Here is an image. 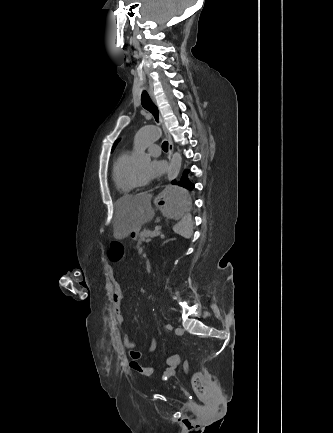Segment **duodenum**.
<instances>
[{
  "label": "duodenum",
  "instance_id": "obj_1",
  "mask_svg": "<svg viewBox=\"0 0 333 433\" xmlns=\"http://www.w3.org/2000/svg\"><path fill=\"white\" fill-rule=\"evenodd\" d=\"M144 267L146 272L150 273L152 271V264L149 260H146Z\"/></svg>",
  "mask_w": 333,
  "mask_h": 433
}]
</instances>
